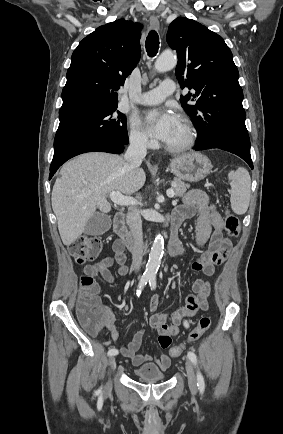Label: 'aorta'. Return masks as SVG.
I'll list each match as a JSON object with an SVG mask.
<instances>
[{"mask_svg":"<svg viewBox=\"0 0 283 434\" xmlns=\"http://www.w3.org/2000/svg\"><path fill=\"white\" fill-rule=\"evenodd\" d=\"M177 64V57L174 54H161L155 61L154 68L158 72H165L174 68ZM164 252V239L158 234L155 236L154 242L152 244L149 259L146 264V275L149 277H154L158 271L161 264V259Z\"/></svg>","mask_w":283,"mask_h":434,"instance_id":"1","label":"aorta"}]
</instances>
